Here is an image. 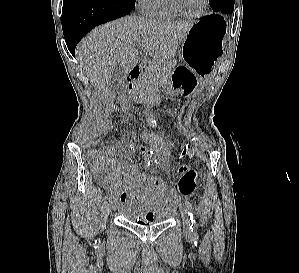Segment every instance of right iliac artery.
Listing matches in <instances>:
<instances>
[{
  "label": "right iliac artery",
  "mask_w": 299,
  "mask_h": 273,
  "mask_svg": "<svg viewBox=\"0 0 299 273\" xmlns=\"http://www.w3.org/2000/svg\"><path fill=\"white\" fill-rule=\"evenodd\" d=\"M113 199H114V196H111V197H110V200H113Z\"/></svg>",
  "instance_id": "obj_1"
}]
</instances>
